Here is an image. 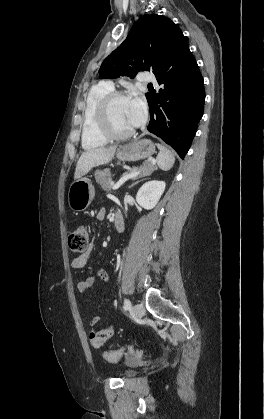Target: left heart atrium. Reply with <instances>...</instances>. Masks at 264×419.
Wrapping results in <instances>:
<instances>
[{"label": "left heart atrium", "instance_id": "39dd6f15", "mask_svg": "<svg viewBox=\"0 0 264 419\" xmlns=\"http://www.w3.org/2000/svg\"><path fill=\"white\" fill-rule=\"evenodd\" d=\"M128 118L133 127L142 125L146 118V104L139 94H133L127 99Z\"/></svg>", "mask_w": 264, "mask_h": 419}]
</instances>
